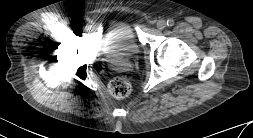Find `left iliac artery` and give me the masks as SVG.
<instances>
[{"label":"left iliac artery","mask_w":253,"mask_h":138,"mask_svg":"<svg viewBox=\"0 0 253 138\" xmlns=\"http://www.w3.org/2000/svg\"><path fill=\"white\" fill-rule=\"evenodd\" d=\"M166 24H167L168 27H172L174 25V20L173 19H168Z\"/></svg>","instance_id":"left-iliac-artery-1"}]
</instances>
